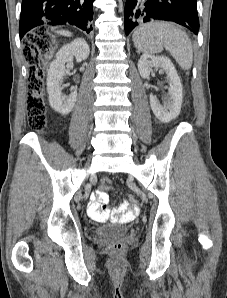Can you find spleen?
I'll return each instance as SVG.
<instances>
[{
    "label": "spleen",
    "instance_id": "3e777b00",
    "mask_svg": "<svg viewBox=\"0 0 227 298\" xmlns=\"http://www.w3.org/2000/svg\"><path fill=\"white\" fill-rule=\"evenodd\" d=\"M135 47L146 54L168 50L180 67L189 70L193 63L188 35L169 22H150L138 27L132 36Z\"/></svg>",
    "mask_w": 227,
    "mask_h": 298
}]
</instances>
